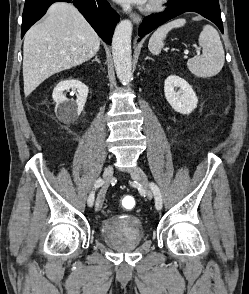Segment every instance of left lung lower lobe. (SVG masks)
<instances>
[{"instance_id": "1", "label": "left lung lower lobe", "mask_w": 249, "mask_h": 294, "mask_svg": "<svg viewBox=\"0 0 249 294\" xmlns=\"http://www.w3.org/2000/svg\"><path fill=\"white\" fill-rule=\"evenodd\" d=\"M188 11L197 12L211 20L223 33L218 0H169V7L165 11L144 18L138 34L139 36H144L166 21Z\"/></svg>"}]
</instances>
